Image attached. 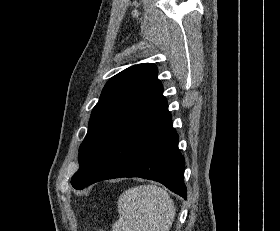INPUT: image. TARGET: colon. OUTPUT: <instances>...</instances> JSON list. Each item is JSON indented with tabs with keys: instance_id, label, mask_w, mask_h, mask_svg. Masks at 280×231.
Here are the masks:
<instances>
[{
	"instance_id": "5ec220e1",
	"label": "colon",
	"mask_w": 280,
	"mask_h": 231,
	"mask_svg": "<svg viewBox=\"0 0 280 231\" xmlns=\"http://www.w3.org/2000/svg\"><path fill=\"white\" fill-rule=\"evenodd\" d=\"M99 231H103V229H99Z\"/></svg>"
}]
</instances>
